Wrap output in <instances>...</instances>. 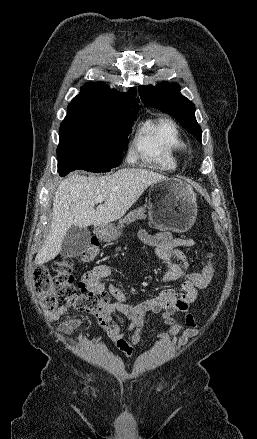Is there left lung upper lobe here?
Listing matches in <instances>:
<instances>
[{
	"label": "left lung upper lobe",
	"instance_id": "5c2ea615",
	"mask_svg": "<svg viewBox=\"0 0 257 439\" xmlns=\"http://www.w3.org/2000/svg\"><path fill=\"white\" fill-rule=\"evenodd\" d=\"M141 100L148 107L160 109L180 122L183 128L201 141V128L195 119V106L181 95L177 83L161 82L156 86H139Z\"/></svg>",
	"mask_w": 257,
	"mask_h": 439
}]
</instances>
